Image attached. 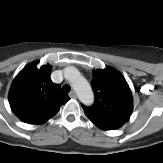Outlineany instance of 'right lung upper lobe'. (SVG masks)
<instances>
[{
  "label": "right lung upper lobe",
  "mask_w": 163,
  "mask_h": 163,
  "mask_svg": "<svg viewBox=\"0 0 163 163\" xmlns=\"http://www.w3.org/2000/svg\"><path fill=\"white\" fill-rule=\"evenodd\" d=\"M28 64L14 79L9 91V103L14 114L23 122L43 124L57 114L69 96L50 79L52 66Z\"/></svg>",
  "instance_id": "right-lung-upper-lobe-1"
}]
</instances>
